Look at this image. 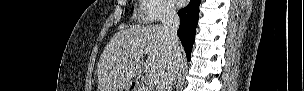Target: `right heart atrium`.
<instances>
[{"mask_svg": "<svg viewBox=\"0 0 304 91\" xmlns=\"http://www.w3.org/2000/svg\"><path fill=\"white\" fill-rule=\"evenodd\" d=\"M142 18L148 22L159 21L174 15L173 6L167 0H142Z\"/></svg>", "mask_w": 304, "mask_h": 91, "instance_id": "right-heart-atrium-1", "label": "right heart atrium"}]
</instances>
